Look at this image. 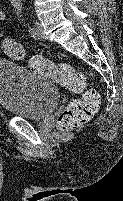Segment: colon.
I'll return each instance as SVG.
<instances>
[{
	"label": "colon",
	"instance_id": "obj_1",
	"mask_svg": "<svg viewBox=\"0 0 123 201\" xmlns=\"http://www.w3.org/2000/svg\"><path fill=\"white\" fill-rule=\"evenodd\" d=\"M4 53L14 60L24 58L22 46L13 38L6 37L2 41ZM30 68L36 73L53 79L57 84L74 92H83L82 97L74 99L64 108L58 118L61 131L79 128L91 120L100 108V96L97 91L86 89L87 80L83 73L76 71L71 65L53 63L42 56H34Z\"/></svg>",
	"mask_w": 123,
	"mask_h": 201
}]
</instances>
